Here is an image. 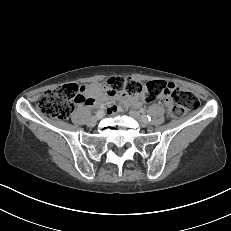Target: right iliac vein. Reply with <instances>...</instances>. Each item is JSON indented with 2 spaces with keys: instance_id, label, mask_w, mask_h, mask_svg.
Listing matches in <instances>:
<instances>
[{
  "instance_id": "obj_1",
  "label": "right iliac vein",
  "mask_w": 231,
  "mask_h": 231,
  "mask_svg": "<svg viewBox=\"0 0 231 231\" xmlns=\"http://www.w3.org/2000/svg\"><path fill=\"white\" fill-rule=\"evenodd\" d=\"M104 116V112H100L98 115H96V117H94L91 121H90V125H94L99 119H101Z\"/></svg>"
}]
</instances>
